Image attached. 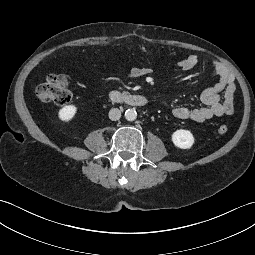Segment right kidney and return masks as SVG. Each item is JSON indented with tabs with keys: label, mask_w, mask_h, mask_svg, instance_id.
<instances>
[{
	"label": "right kidney",
	"mask_w": 255,
	"mask_h": 255,
	"mask_svg": "<svg viewBox=\"0 0 255 255\" xmlns=\"http://www.w3.org/2000/svg\"><path fill=\"white\" fill-rule=\"evenodd\" d=\"M77 113V107L74 105H68L61 108L58 112V117L61 121H71Z\"/></svg>",
	"instance_id": "obj_1"
}]
</instances>
